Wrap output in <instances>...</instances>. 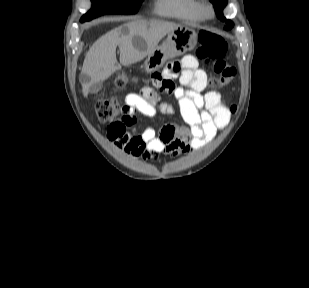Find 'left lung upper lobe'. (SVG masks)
<instances>
[{
	"mask_svg": "<svg viewBox=\"0 0 309 288\" xmlns=\"http://www.w3.org/2000/svg\"><path fill=\"white\" fill-rule=\"evenodd\" d=\"M210 2L213 3L215 12L218 16L219 19H221L222 21H225L227 23V26L224 28L225 30H230L233 27V22L231 20L226 19L223 16V9L227 4V0H210Z\"/></svg>",
	"mask_w": 309,
	"mask_h": 288,
	"instance_id": "left-lung-upper-lobe-1",
	"label": "left lung upper lobe"
}]
</instances>
